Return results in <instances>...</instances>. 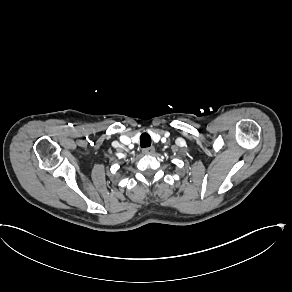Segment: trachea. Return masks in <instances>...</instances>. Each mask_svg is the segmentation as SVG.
Returning <instances> with one entry per match:
<instances>
[{
  "label": "trachea",
  "mask_w": 292,
  "mask_h": 292,
  "mask_svg": "<svg viewBox=\"0 0 292 292\" xmlns=\"http://www.w3.org/2000/svg\"><path fill=\"white\" fill-rule=\"evenodd\" d=\"M151 137L148 133H142V135L140 136V146L142 148H146L149 147L151 145Z\"/></svg>",
  "instance_id": "obj_1"
}]
</instances>
